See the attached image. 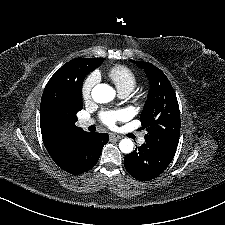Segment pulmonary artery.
I'll return each mask as SVG.
<instances>
[{
  "mask_svg": "<svg viewBox=\"0 0 225 225\" xmlns=\"http://www.w3.org/2000/svg\"><path fill=\"white\" fill-rule=\"evenodd\" d=\"M128 95H129L128 92H121V93H120V96H121L122 98H126V97H128ZM93 124H94V120L89 119V118L80 119V120L78 121V125H79V127H81V128H87V127H89V126H91V125H93ZM138 142H139V144H143V143L145 142L144 136H141V137L138 139Z\"/></svg>",
  "mask_w": 225,
  "mask_h": 225,
  "instance_id": "1",
  "label": "pulmonary artery"
}]
</instances>
